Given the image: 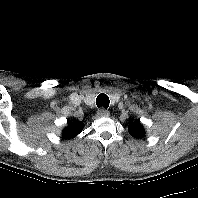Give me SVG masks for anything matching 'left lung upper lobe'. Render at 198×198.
<instances>
[{"instance_id":"1","label":"left lung upper lobe","mask_w":198,"mask_h":198,"mask_svg":"<svg viewBox=\"0 0 198 198\" xmlns=\"http://www.w3.org/2000/svg\"><path fill=\"white\" fill-rule=\"evenodd\" d=\"M130 135L134 138H142L145 134V130L141 125L140 121H135L128 127Z\"/></svg>"}]
</instances>
